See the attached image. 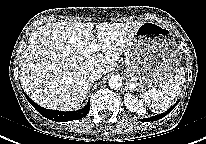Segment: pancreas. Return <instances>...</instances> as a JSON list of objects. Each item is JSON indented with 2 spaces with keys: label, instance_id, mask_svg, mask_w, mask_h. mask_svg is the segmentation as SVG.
Instances as JSON below:
<instances>
[{
  "label": "pancreas",
  "instance_id": "pancreas-1",
  "mask_svg": "<svg viewBox=\"0 0 206 144\" xmlns=\"http://www.w3.org/2000/svg\"><path fill=\"white\" fill-rule=\"evenodd\" d=\"M130 63H127V71L129 72L130 71Z\"/></svg>",
  "mask_w": 206,
  "mask_h": 144
}]
</instances>
